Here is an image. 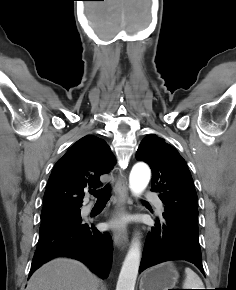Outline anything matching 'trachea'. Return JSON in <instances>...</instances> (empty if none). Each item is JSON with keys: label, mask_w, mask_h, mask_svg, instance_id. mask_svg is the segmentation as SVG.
Wrapping results in <instances>:
<instances>
[{"label": "trachea", "mask_w": 236, "mask_h": 290, "mask_svg": "<svg viewBox=\"0 0 236 290\" xmlns=\"http://www.w3.org/2000/svg\"><path fill=\"white\" fill-rule=\"evenodd\" d=\"M89 192L97 198L98 202H107L110 198V188L108 185L98 191L90 190Z\"/></svg>", "instance_id": "trachea-1"}]
</instances>
